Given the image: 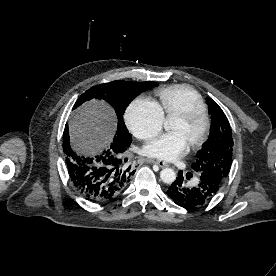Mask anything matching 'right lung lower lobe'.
Here are the masks:
<instances>
[{
    "label": "right lung lower lobe",
    "mask_w": 276,
    "mask_h": 276,
    "mask_svg": "<svg viewBox=\"0 0 276 276\" xmlns=\"http://www.w3.org/2000/svg\"><path fill=\"white\" fill-rule=\"evenodd\" d=\"M68 126L63 134L66 164L74 188L87 200L105 202L117 197L129 184L135 170L126 168L121 159L129 144L113 146L93 157L78 156L70 147Z\"/></svg>",
    "instance_id": "98d812e1"
}]
</instances>
